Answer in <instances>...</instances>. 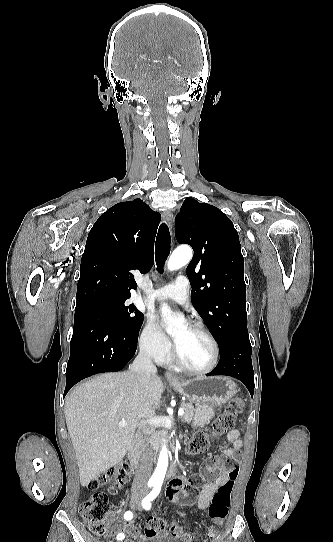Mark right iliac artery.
<instances>
[{"mask_svg":"<svg viewBox=\"0 0 333 542\" xmlns=\"http://www.w3.org/2000/svg\"><path fill=\"white\" fill-rule=\"evenodd\" d=\"M153 485H154V483H149V484H148L149 487H152ZM146 499H147V497L144 498V499L142 500V502H143L144 500H146ZM124 518H125L126 520H131V519L133 518L132 512H131V511L125 512ZM124 538H125L124 533H120V534L117 535V539H118V540H122V539H124Z\"/></svg>","mask_w":333,"mask_h":542,"instance_id":"obj_1","label":"right iliac artery"}]
</instances>
